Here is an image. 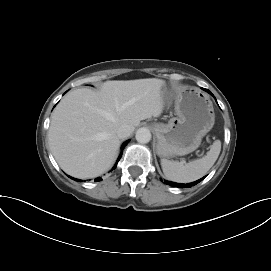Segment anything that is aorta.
<instances>
[{"instance_id":"1","label":"aorta","mask_w":271,"mask_h":271,"mask_svg":"<svg viewBox=\"0 0 271 271\" xmlns=\"http://www.w3.org/2000/svg\"><path fill=\"white\" fill-rule=\"evenodd\" d=\"M135 138L141 144L148 143L151 140V132L148 128L142 127L136 131Z\"/></svg>"}]
</instances>
